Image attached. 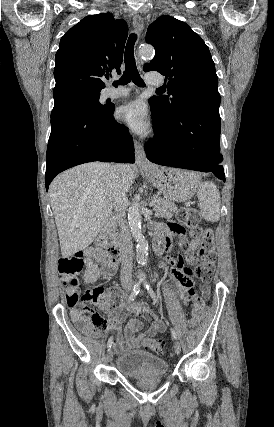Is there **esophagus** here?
Returning a JSON list of instances; mask_svg holds the SVG:
<instances>
[{
    "instance_id": "1",
    "label": "esophagus",
    "mask_w": 274,
    "mask_h": 427,
    "mask_svg": "<svg viewBox=\"0 0 274 427\" xmlns=\"http://www.w3.org/2000/svg\"><path fill=\"white\" fill-rule=\"evenodd\" d=\"M132 25L134 31L140 36L144 30V20L140 15H134ZM135 147V163L139 167H148L150 165L149 160L146 158L143 143L139 140H134Z\"/></svg>"
}]
</instances>
